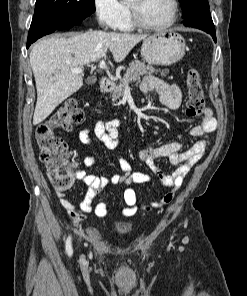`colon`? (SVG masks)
I'll return each instance as SVG.
<instances>
[{"label":"colon","mask_w":247,"mask_h":296,"mask_svg":"<svg viewBox=\"0 0 247 296\" xmlns=\"http://www.w3.org/2000/svg\"><path fill=\"white\" fill-rule=\"evenodd\" d=\"M188 101L186 115L190 118L199 116L204 109V92L199 73L191 68L187 73ZM84 119L83 110L76 100L65 101L36 128V141L39 157L45 165L47 176L53 187L59 191L70 188L75 181L74 164L67 144L56 134L57 130H70Z\"/></svg>","instance_id":"5ec220e1"}]
</instances>
